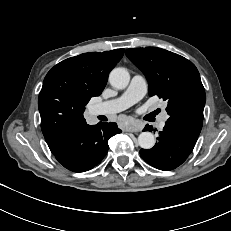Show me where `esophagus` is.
Returning <instances> with one entry per match:
<instances>
[{
  "mask_svg": "<svg viewBox=\"0 0 231 231\" xmlns=\"http://www.w3.org/2000/svg\"><path fill=\"white\" fill-rule=\"evenodd\" d=\"M126 131H128V132H140L141 131V127L135 126V125H131V126H128L126 128Z\"/></svg>",
  "mask_w": 231,
  "mask_h": 231,
  "instance_id": "34e87169",
  "label": "esophagus"
}]
</instances>
